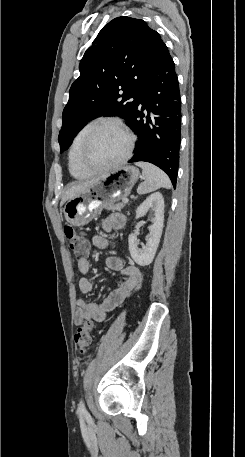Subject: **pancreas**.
<instances>
[{
	"label": "pancreas",
	"instance_id": "1",
	"mask_svg": "<svg viewBox=\"0 0 245 457\" xmlns=\"http://www.w3.org/2000/svg\"><path fill=\"white\" fill-rule=\"evenodd\" d=\"M123 206H125V202H116V204H114V202H107V204H105L107 210H121Z\"/></svg>",
	"mask_w": 245,
	"mask_h": 457
}]
</instances>
